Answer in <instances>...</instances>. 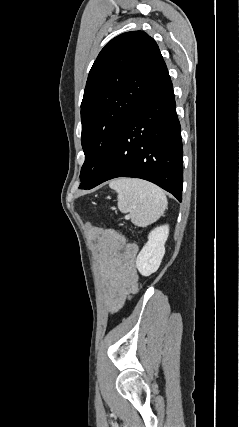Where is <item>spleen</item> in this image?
I'll return each instance as SVG.
<instances>
[{"mask_svg":"<svg viewBox=\"0 0 239 427\" xmlns=\"http://www.w3.org/2000/svg\"><path fill=\"white\" fill-rule=\"evenodd\" d=\"M118 193V208L129 213L133 224L146 227L157 221L167 207L165 193L158 186L136 178H119L109 184Z\"/></svg>","mask_w":239,"mask_h":427,"instance_id":"3e777b00","label":"spleen"}]
</instances>
